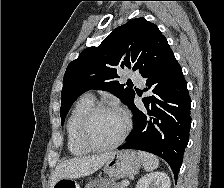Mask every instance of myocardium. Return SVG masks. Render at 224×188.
<instances>
[{
  "label": "myocardium",
  "instance_id": "myocardium-1",
  "mask_svg": "<svg viewBox=\"0 0 224 188\" xmlns=\"http://www.w3.org/2000/svg\"><path fill=\"white\" fill-rule=\"evenodd\" d=\"M102 111H117L124 117L125 125L120 136L113 142L107 144H101L93 140L90 135V127L95 116ZM131 129V120L129 116L120 108L108 103H99L93 105L88 112L82 118L79 126V138L84 146L90 150H107L118 147L123 143Z\"/></svg>",
  "mask_w": 224,
  "mask_h": 188
}]
</instances>
